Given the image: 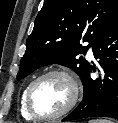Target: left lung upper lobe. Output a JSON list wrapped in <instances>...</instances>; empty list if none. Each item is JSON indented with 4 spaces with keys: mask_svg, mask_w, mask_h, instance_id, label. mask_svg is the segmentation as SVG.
<instances>
[{
    "mask_svg": "<svg viewBox=\"0 0 118 123\" xmlns=\"http://www.w3.org/2000/svg\"><path fill=\"white\" fill-rule=\"evenodd\" d=\"M118 18V0H46L27 39L17 80L58 63L83 79L89 63L80 56ZM89 42L82 47L80 40Z\"/></svg>",
    "mask_w": 118,
    "mask_h": 123,
    "instance_id": "1",
    "label": "left lung upper lobe"
}]
</instances>
